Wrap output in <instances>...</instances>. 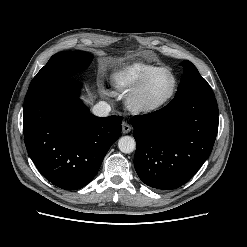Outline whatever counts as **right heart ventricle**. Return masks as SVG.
Listing matches in <instances>:
<instances>
[{
	"mask_svg": "<svg viewBox=\"0 0 247 247\" xmlns=\"http://www.w3.org/2000/svg\"><path fill=\"white\" fill-rule=\"evenodd\" d=\"M155 67L154 64L145 61H136L123 65L111 74L112 85L119 91H129L141 75Z\"/></svg>",
	"mask_w": 247,
	"mask_h": 247,
	"instance_id": "obj_1",
	"label": "right heart ventricle"
}]
</instances>
